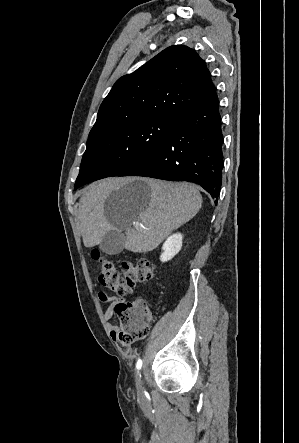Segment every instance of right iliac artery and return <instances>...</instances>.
<instances>
[{
	"label": "right iliac artery",
	"instance_id": "1",
	"mask_svg": "<svg viewBox=\"0 0 299 443\" xmlns=\"http://www.w3.org/2000/svg\"><path fill=\"white\" fill-rule=\"evenodd\" d=\"M141 367H142V360L139 359V360L137 361V364H136V368H137L138 372H139V370L141 369Z\"/></svg>",
	"mask_w": 299,
	"mask_h": 443
}]
</instances>
